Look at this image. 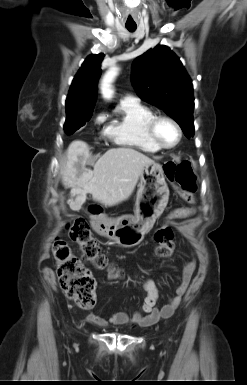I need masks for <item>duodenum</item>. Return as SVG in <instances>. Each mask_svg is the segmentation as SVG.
Listing matches in <instances>:
<instances>
[{
	"mask_svg": "<svg viewBox=\"0 0 247 385\" xmlns=\"http://www.w3.org/2000/svg\"><path fill=\"white\" fill-rule=\"evenodd\" d=\"M93 214L99 215L100 211L99 210H95V211H93ZM104 223H106V221L98 219V220L95 221L94 226H97V224H104Z\"/></svg>",
	"mask_w": 247,
	"mask_h": 385,
	"instance_id": "duodenum-1",
	"label": "duodenum"
}]
</instances>
